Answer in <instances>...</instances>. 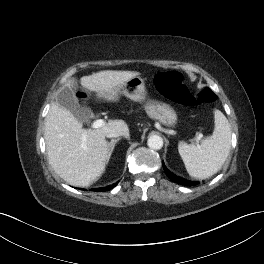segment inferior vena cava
I'll return each mask as SVG.
<instances>
[{
    "instance_id": "obj_1",
    "label": "inferior vena cava",
    "mask_w": 264,
    "mask_h": 264,
    "mask_svg": "<svg viewBox=\"0 0 264 264\" xmlns=\"http://www.w3.org/2000/svg\"><path fill=\"white\" fill-rule=\"evenodd\" d=\"M108 138H113V137H119V136H125L127 137L125 132L122 131H111L109 133H107L106 135Z\"/></svg>"
}]
</instances>
